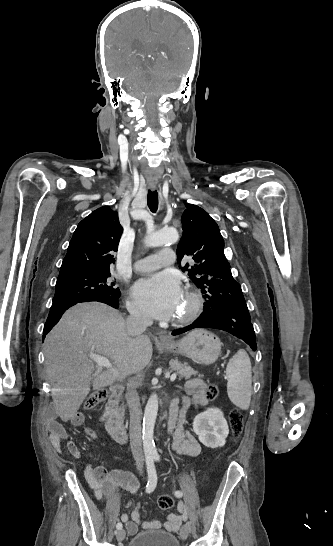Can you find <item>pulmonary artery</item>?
<instances>
[{
    "mask_svg": "<svg viewBox=\"0 0 333 546\" xmlns=\"http://www.w3.org/2000/svg\"><path fill=\"white\" fill-rule=\"evenodd\" d=\"M175 254L170 249H164L156 254L139 259L134 263V270L137 272H151L162 266L171 265L174 262Z\"/></svg>",
    "mask_w": 333,
    "mask_h": 546,
    "instance_id": "pulmonary-artery-1",
    "label": "pulmonary artery"
}]
</instances>
